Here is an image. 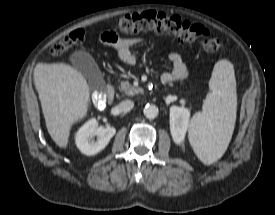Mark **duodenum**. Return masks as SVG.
<instances>
[{"label": "duodenum", "instance_id": "duodenum-1", "mask_svg": "<svg viewBox=\"0 0 275 215\" xmlns=\"http://www.w3.org/2000/svg\"><path fill=\"white\" fill-rule=\"evenodd\" d=\"M114 96H115V87L113 83H110L108 85L105 97L97 99V102L99 104H105L106 102L112 101L114 99Z\"/></svg>", "mask_w": 275, "mask_h": 215}]
</instances>
